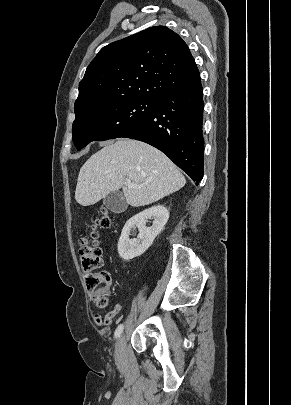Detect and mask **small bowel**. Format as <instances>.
<instances>
[{"label":"small bowel","instance_id":"obj_1","mask_svg":"<svg viewBox=\"0 0 291 405\" xmlns=\"http://www.w3.org/2000/svg\"><path fill=\"white\" fill-rule=\"evenodd\" d=\"M119 311V306L116 305L114 309L109 312L104 318L100 315H95L94 317V322L98 326L102 325H109L112 322L113 317L116 315V313Z\"/></svg>","mask_w":291,"mask_h":405}]
</instances>
